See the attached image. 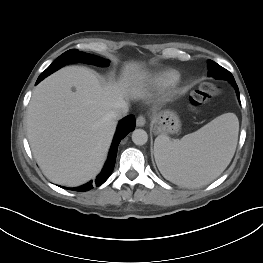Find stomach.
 <instances>
[{"mask_svg": "<svg viewBox=\"0 0 263 263\" xmlns=\"http://www.w3.org/2000/svg\"><path fill=\"white\" fill-rule=\"evenodd\" d=\"M155 133H175L180 129V119L173 111H162L154 115L152 119Z\"/></svg>", "mask_w": 263, "mask_h": 263, "instance_id": "1", "label": "stomach"}]
</instances>
